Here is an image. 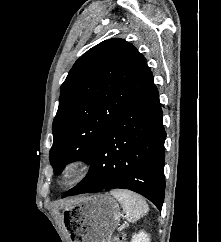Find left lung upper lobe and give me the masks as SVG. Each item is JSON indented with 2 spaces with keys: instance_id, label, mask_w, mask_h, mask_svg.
<instances>
[{
  "instance_id": "left-lung-upper-lobe-1",
  "label": "left lung upper lobe",
  "mask_w": 221,
  "mask_h": 242,
  "mask_svg": "<svg viewBox=\"0 0 221 242\" xmlns=\"http://www.w3.org/2000/svg\"><path fill=\"white\" fill-rule=\"evenodd\" d=\"M152 84L146 59L123 39L83 54L61 86L49 154L54 172L74 160L90 163L103 133Z\"/></svg>"
}]
</instances>
